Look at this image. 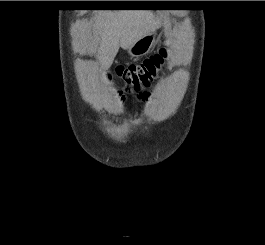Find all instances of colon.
I'll return each instance as SVG.
<instances>
[{
	"label": "colon",
	"mask_w": 265,
	"mask_h": 245,
	"mask_svg": "<svg viewBox=\"0 0 265 245\" xmlns=\"http://www.w3.org/2000/svg\"><path fill=\"white\" fill-rule=\"evenodd\" d=\"M166 49L136 64H120L114 69L124 87L119 88V96L123 99L126 93L140 92L148 88L156 79L160 67L166 60Z\"/></svg>",
	"instance_id": "colon-1"
}]
</instances>
